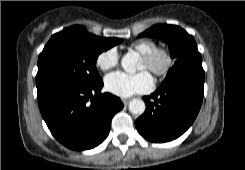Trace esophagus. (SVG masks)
<instances>
[{"label":"esophagus","mask_w":245,"mask_h":170,"mask_svg":"<svg viewBox=\"0 0 245 170\" xmlns=\"http://www.w3.org/2000/svg\"><path fill=\"white\" fill-rule=\"evenodd\" d=\"M122 102L124 103V105H127L129 102V99H123Z\"/></svg>","instance_id":"34e87169"}]
</instances>
